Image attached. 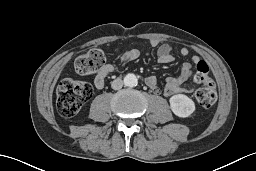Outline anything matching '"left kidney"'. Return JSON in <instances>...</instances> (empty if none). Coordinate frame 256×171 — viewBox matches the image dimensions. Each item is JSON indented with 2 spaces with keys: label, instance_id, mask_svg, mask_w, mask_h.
<instances>
[{
  "label": "left kidney",
  "instance_id": "left-kidney-1",
  "mask_svg": "<svg viewBox=\"0 0 256 171\" xmlns=\"http://www.w3.org/2000/svg\"><path fill=\"white\" fill-rule=\"evenodd\" d=\"M169 102L171 110L178 117L186 118L195 111L193 100L184 94L173 95Z\"/></svg>",
  "mask_w": 256,
  "mask_h": 171
}]
</instances>
